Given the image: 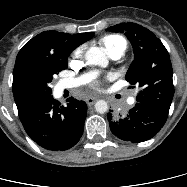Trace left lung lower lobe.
I'll return each mask as SVG.
<instances>
[{"instance_id":"1","label":"left lung lower lobe","mask_w":187,"mask_h":187,"mask_svg":"<svg viewBox=\"0 0 187 187\" xmlns=\"http://www.w3.org/2000/svg\"><path fill=\"white\" fill-rule=\"evenodd\" d=\"M168 113L137 102L124 119L107 115L112 133L121 140L139 143L155 136L165 124Z\"/></svg>"}]
</instances>
